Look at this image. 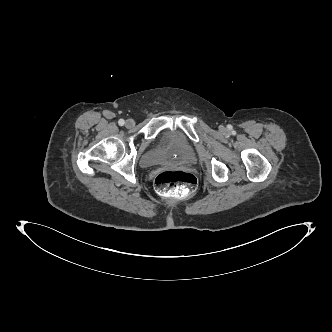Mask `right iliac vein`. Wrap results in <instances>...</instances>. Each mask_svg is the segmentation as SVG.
<instances>
[{
    "instance_id": "obj_1",
    "label": "right iliac vein",
    "mask_w": 332,
    "mask_h": 332,
    "mask_svg": "<svg viewBox=\"0 0 332 332\" xmlns=\"http://www.w3.org/2000/svg\"><path fill=\"white\" fill-rule=\"evenodd\" d=\"M134 124H135L134 120L128 119V120H126L125 126L127 128H132L134 126Z\"/></svg>"
}]
</instances>
